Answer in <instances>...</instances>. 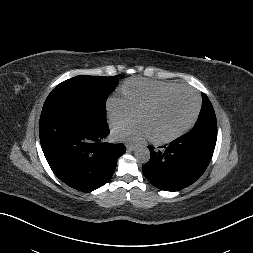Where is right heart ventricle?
Wrapping results in <instances>:
<instances>
[{"label": "right heart ventricle", "instance_id": "e07e8e85", "mask_svg": "<svg viewBox=\"0 0 253 253\" xmlns=\"http://www.w3.org/2000/svg\"><path fill=\"white\" fill-rule=\"evenodd\" d=\"M178 86L176 83L151 81L146 79H132L127 81L122 89L123 98L135 112L155 97L157 94Z\"/></svg>", "mask_w": 253, "mask_h": 253}]
</instances>
